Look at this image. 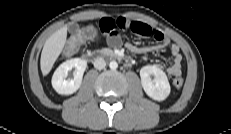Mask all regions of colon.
Masks as SVG:
<instances>
[{
    "label": "colon",
    "mask_w": 231,
    "mask_h": 134,
    "mask_svg": "<svg viewBox=\"0 0 231 134\" xmlns=\"http://www.w3.org/2000/svg\"><path fill=\"white\" fill-rule=\"evenodd\" d=\"M96 34V29L95 28H86L82 29L79 31L70 41L67 43L64 53L67 56L73 55L74 53L77 52L79 49L80 45L83 43L88 38L93 37ZM183 78L181 77H176L173 80V85L176 88H180L183 85Z\"/></svg>",
    "instance_id": "obj_1"
}]
</instances>
